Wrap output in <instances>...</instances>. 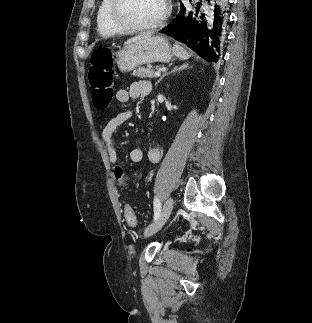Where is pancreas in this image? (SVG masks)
<instances>
[{
  "label": "pancreas",
  "instance_id": "cf45deb5",
  "mask_svg": "<svg viewBox=\"0 0 312 323\" xmlns=\"http://www.w3.org/2000/svg\"><path fill=\"white\" fill-rule=\"evenodd\" d=\"M132 76H137V78H156L153 68H137Z\"/></svg>",
  "mask_w": 312,
  "mask_h": 323
}]
</instances>
